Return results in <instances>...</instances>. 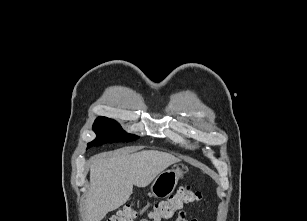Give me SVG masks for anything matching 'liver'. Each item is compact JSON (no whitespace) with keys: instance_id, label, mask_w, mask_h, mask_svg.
Returning a JSON list of instances; mask_svg holds the SVG:
<instances>
[{"instance_id":"liver-1","label":"liver","mask_w":307,"mask_h":221,"mask_svg":"<svg viewBox=\"0 0 307 221\" xmlns=\"http://www.w3.org/2000/svg\"><path fill=\"white\" fill-rule=\"evenodd\" d=\"M178 161L175 156L156 150L93 156L86 199L87 221H101L108 212L128 201L133 185L148 186L158 174Z\"/></svg>"}]
</instances>
